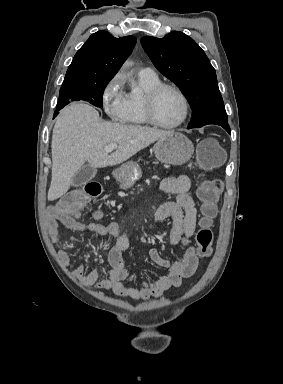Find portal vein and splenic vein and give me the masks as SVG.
Instances as JSON below:
<instances>
[{
    "instance_id": "obj_1",
    "label": "portal vein and splenic vein",
    "mask_w": 283,
    "mask_h": 384,
    "mask_svg": "<svg viewBox=\"0 0 283 384\" xmlns=\"http://www.w3.org/2000/svg\"><path fill=\"white\" fill-rule=\"evenodd\" d=\"M116 148H118V144H108L104 150L105 152H113V150H116Z\"/></svg>"
}]
</instances>
